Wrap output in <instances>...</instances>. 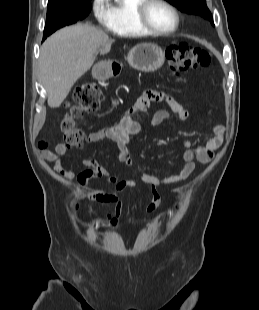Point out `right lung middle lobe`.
I'll return each mask as SVG.
<instances>
[{
    "mask_svg": "<svg viewBox=\"0 0 259 310\" xmlns=\"http://www.w3.org/2000/svg\"><path fill=\"white\" fill-rule=\"evenodd\" d=\"M90 1L48 6L43 39L59 28L74 24L78 20L85 18L92 8Z\"/></svg>",
    "mask_w": 259,
    "mask_h": 310,
    "instance_id": "obj_1",
    "label": "right lung middle lobe"
}]
</instances>
